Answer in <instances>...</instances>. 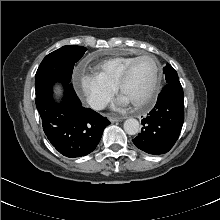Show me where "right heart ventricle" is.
I'll list each match as a JSON object with an SVG mask.
<instances>
[{"instance_id":"e07e8e85","label":"right heart ventricle","mask_w":220,"mask_h":220,"mask_svg":"<svg viewBox=\"0 0 220 220\" xmlns=\"http://www.w3.org/2000/svg\"><path fill=\"white\" fill-rule=\"evenodd\" d=\"M136 57L135 55H127L109 58L95 64L93 70L98 77L117 87L125 68Z\"/></svg>"}]
</instances>
